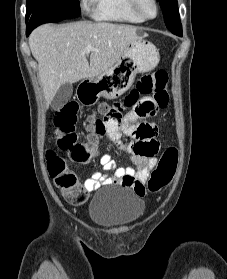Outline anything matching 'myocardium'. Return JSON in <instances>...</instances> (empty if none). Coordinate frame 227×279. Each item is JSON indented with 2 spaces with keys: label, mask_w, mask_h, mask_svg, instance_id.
Wrapping results in <instances>:
<instances>
[{
  "label": "myocardium",
  "mask_w": 227,
  "mask_h": 279,
  "mask_svg": "<svg viewBox=\"0 0 227 279\" xmlns=\"http://www.w3.org/2000/svg\"><path fill=\"white\" fill-rule=\"evenodd\" d=\"M151 2L154 5V9H155V13L152 16H148L146 14H144L140 8V0H131L132 3V7L135 11V13L142 19V20H153L154 18L157 17L158 13H159V7H158V3L157 0H151Z\"/></svg>",
  "instance_id": "myocardium-1"
}]
</instances>
